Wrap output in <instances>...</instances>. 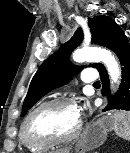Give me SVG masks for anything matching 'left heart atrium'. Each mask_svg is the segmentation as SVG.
Here are the masks:
<instances>
[{
  "instance_id": "obj_1",
  "label": "left heart atrium",
  "mask_w": 130,
  "mask_h": 153,
  "mask_svg": "<svg viewBox=\"0 0 130 153\" xmlns=\"http://www.w3.org/2000/svg\"><path fill=\"white\" fill-rule=\"evenodd\" d=\"M76 110H77L78 115L80 116V114L82 112V108L81 107H78V108H76Z\"/></svg>"
}]
</instances>
